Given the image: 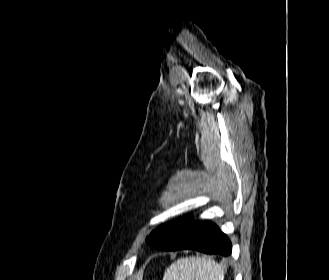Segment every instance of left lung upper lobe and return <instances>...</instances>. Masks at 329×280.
<instances>
[{"label":"left lung upper lobe","instance_id":"left-lung-upper-lobe-1","mask_svg":"<svg viewBox=\"0 0 329 280\" xmlns=\"http://www.w3.org/2000/svg\"><path fill=\"white\" fill-rule=\"evenodd\" d=\"M161 231H162V226L154 230L149 235V237H147L146 242L154 248L161 249L165 247L168 243V237L164 236V234Z\"/></svg>","mask_w":329,"mask_h":280}]
</instances>
